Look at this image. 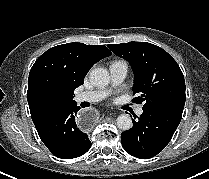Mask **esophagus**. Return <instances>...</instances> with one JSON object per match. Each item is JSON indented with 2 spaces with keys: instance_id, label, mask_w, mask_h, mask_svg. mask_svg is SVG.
I'll return each mask as SVG.
<instances>
[{
  "instance_id": "obj_1",
  "label": "esophagus",
  "mask_w": 209,
  "mask_h": 179,
  "mask_svg": "<svg viewBox=\"0 0 209 179\" xmlns=\"http://www.w3.org/2000/svg\"><path fill=\"white\" fill-rule=\"evenodd\" d=\"M98 119V112L93 107L79 109L74 114V121L77 128L84 132L90 131L98 122Z\"/></svg>"
}]
</instances>
